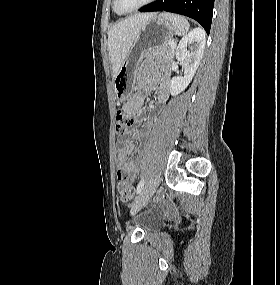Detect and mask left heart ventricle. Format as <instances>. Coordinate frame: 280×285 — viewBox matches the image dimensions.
<instances>
[{
	"label": "left heart ventricle",
	"instance_id": "b2bd125f",
	"mask_svg": "<svg viewBox=\"0 0 280 285\" xmlns=\"http://www.w3.org/2000/svg\"><path fill=\"white\" fill-rule=\"evenodd\" d=\"M144 1L145 0H119V5L121 9L128 10L138 6Z\"/></svg>",
	"mask_w": 280,
	"mask_h": 285
}]
</instances>
